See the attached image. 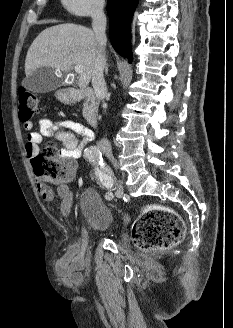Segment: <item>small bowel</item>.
<instances>
[{"label": "small bowel", "mask_w": 233, "mask_h": 328, "mask_svg": "<svg viewBox=\"0 0 233 328\" xmlns=\"http://www.w3.org/2000/svg\"><path fill=\"white\" fill-rule=\"evenodd\" d=\"M24 128L27 131V141L25 152L29 158H33L39 151V144L44 137L55 138L62 144L59 151L60 157L68 161V176L71 178L74 174L73 161L80 158L88 149L94 134L91 129L83 124L64 119L53 122L44 118L40 122L39 131L32 130V123L26 122ZM79 137V138H78ZM57 186L56 194L62 199L61 212L68 217L73 205V194L66 182H55ZM38 192L45 201H53L55 192L45 183L44 179H38ZM60 271L63 274V285L67 288L80 287L83 284V276L75 268L72 257L66 253L57 262Z\"/></svg>", "instance_id": "c3829d8e"}]
</instances>
